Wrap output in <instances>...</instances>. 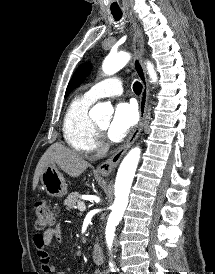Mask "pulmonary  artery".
Returning a JSON list of instances; mask_svg holds the SVG:
<instances>
[{"label":"pulmonary artery","mask_w":215,"mask_h":274,"mask_svg":"<svg viewBox=\"0 0 215 274\" xmlns=\"http://www.w3.org/2000/svg\"><path fill=\"white\" fill-rule=\"evenodd\" d=\"M123 92V83L119 77H111L93 85L85 95L95 101L104 97L117 96Z\"/></svg>","instance_id":"pulmonary-artery-1"}]
</instances>
